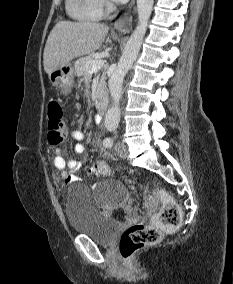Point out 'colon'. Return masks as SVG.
Returning <instances> with one entry per match:
<instances>
[{
    "label": "colon",
    "instance_id": "obj_1",
    "mask_svg": "<svg viewBox=\"0 0 233 284\" xmlns=\"http://www.w3.org/2000/svg\"><path fill=\"white\" fill-rule=\"evenodd\" d=\"M47 137L51 145L61 144L66 137V127L63 120V109L59 102L51 101L48 105ZM93 167L102 175L110 174L109 168L101 161H96ZM162 207L157 213L152 225L135 224L127 228L119 242L122 258L129 261L147 245L157 243L163 232L175 229L181 220V211L178 204L164 189L157 192ZM145 206L151 209L154 206V197L144 193Z\"/></svg>",
    "mask_w": 233,
    "mask_h": 284
}]
</instances>
